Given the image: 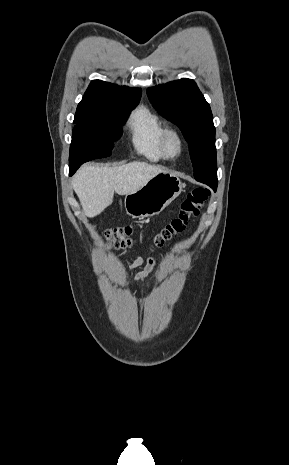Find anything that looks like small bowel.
Instances as JSON below:
<instances>
[{
  "mask_svg": "<svg viewBox=\"0 0 289 465\" xmlns=\"http://www.w3.org/2000/svg\"><path fill=\"white\" fill-rule=\"evenodd\" d=\"M168 256V253H167ZM144 265L143 269L136 274V276L131 280H123L121 283L123 285L134 284L144 280L148 275L156 269V260L153 257H149L148 259H143L142 257L136 258L131 265L129 266L131 269L137 268L139 266Z\"/></svg>",
  "mask_w": 289,
  "mask_h": 465,
  "instance_id": "1",
  "label": "small bowel"
}]
</instances>
